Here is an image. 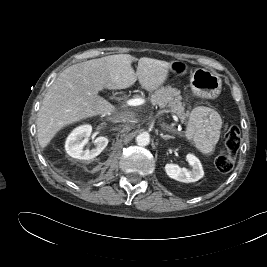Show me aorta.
Here are the masks:
<instances>
[{"mask_svg":"<svg viewBox=\"0 0 267 267\" xmlns=\"http://www.w3.org/2000/svg\"><path fill=\"white\" fill-rule=\"evenodd\" d=\"M136 143L139 146H147L150 143V136L147 132L140 133L136 137Z\"/></svg>","mask_w":267,"mask_h":267,"instance_id":"aorta-1","label":"aorta"}]
</instances>
